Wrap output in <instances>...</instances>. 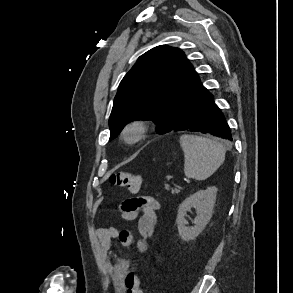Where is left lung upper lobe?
I'll return each mask as SVG.
<instances>
[{
	"instance_id": "5c2ea615",
	"label": "left lung upper lobe",
	"mask_w": 293,
	"mask_h": 293,
	"mask_svg": "<svg viewBox=\"0 0 293 293\" xmlns=\"http://www.w3.org/2000/svg\"><path fill=\"white\" fill-rule=\"evenodd\" d=\"M206 90L181 50L166 45L149 50L120 83L109 118V140L134 120H152L159 134L172 131L186 106Z\"/></svg>"
}]
</instances>
